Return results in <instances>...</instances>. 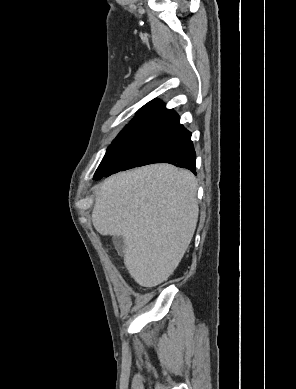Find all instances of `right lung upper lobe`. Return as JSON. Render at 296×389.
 <instances>
[{"mask_svg": "<svg viewBox=\"0 0 296 389\" xmlns=\"http://www.w3.org/2000/svg\"><path fill=\"white\" fill-rule=\"evenodd\" d=\"M138 117H160L179 120V116L173 109H166L165 105L158 100L149 102L142 107L135 118Z\"/></svg>", "mask_w": 296, "mask_h": 389, "instance_id": "1", "label": "right lung upper lobe"}]
</instances>
